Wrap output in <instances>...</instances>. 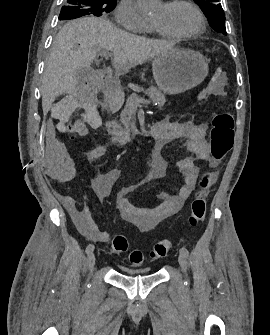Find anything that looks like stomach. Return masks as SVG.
Masks as SVG:
<instances>
[{
	"mask_svg": "<svg viewBox=\"0 0 270 335\" xmlns=\"http://www.w3.org/2000/svg\"><path fill=\"white\" fill-rule=\"evenodd\" d=\"M152 72L164 94H182L205 80L209 66L200 52L191 48H174L153 58Z\"/></svg>",
	"mask_w": 270,
	"mask_h": 335,
	"instance_id": "1",
	"label": "stomach"
}]
</instances>
